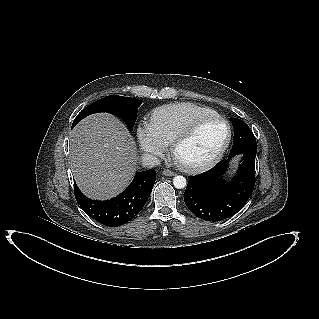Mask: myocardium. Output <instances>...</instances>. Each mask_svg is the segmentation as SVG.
I'll return each instance as SVG.
<instances>
[{
  "mask_svg": "<svg viewBox=\"0 0 319 319\" xmlns=\"http://www.w3.org/2000/svg\"><path fill=\"white\" fill-rule=\"evenodd\" d=\"M210 120H219L221 121L225 127H226V136L221 144V146L218 148V150L214 153L213 156H211L209 159L206 161L200 162V163H185L180 161L177 156L176 152L178 147L187 141L193 134L194 132L198 129V127ZM232 138V129L231 125L221 115L215 113V114H210V115H205L198 117L194 120H192L171 142L170 144V153L171 156L173 157V160L175 163L184 171L189 172V173H198L205 171L211 167H213L215 164H217L221 158L223 157L224 153L226 152Z\"/></svg>",
  "mask_w": 319,
  "mask_h": 319,
  "instance_id": "f54148a6",
  "label": "myocardium"
}]
</instances>
